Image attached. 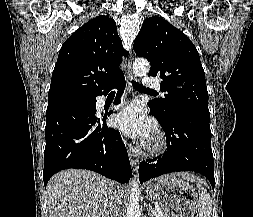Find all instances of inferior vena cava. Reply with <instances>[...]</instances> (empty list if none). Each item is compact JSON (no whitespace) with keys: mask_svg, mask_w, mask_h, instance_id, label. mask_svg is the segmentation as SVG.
<instances>
[{"mask_svg":"<svg viewBox=\"0 0 253 217\" xmlns=\"http://www.w3.org/2000/svg\"><path fill=\"white\" fill-rule=\"evenodd\" d=\"M112 189H113V206H112V210H111V213H110V217H116L117 213H118V210H117V207H120V200L119 199H122V194H123V189L120 185H113L112 186Z\"/></svg>","mask_w":253,"mask_h":217,"instance_id":"inferior-vena-cava-1","label":"inferior vena cava"}]
</instances>
